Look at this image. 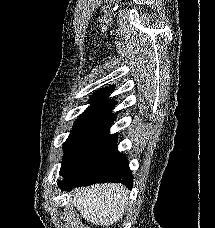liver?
I'll use <instances>...</instances> for the list:
<instances>
[{"mask_svg": "<svg viewBox=\"0 0 215 228\" xmlns=\"http://www.w3.org/2000/svg\"><path fill=\"white\" fill-rule=\"evenodd\" d=\"M128 200L129 190L122 184H95L75 188L70 194V202L81 218L102 228H109L122 220Z\"/></svg>", "mask_w": 215, "mask_h": 228, "instance_id": "1", "label": "liver"}]
</instances>
